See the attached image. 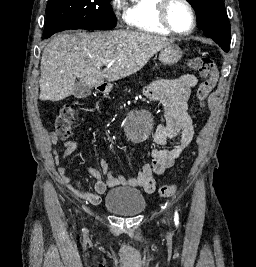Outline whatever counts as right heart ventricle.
<instances>
[{
  "label": "right heart ventricle",
  "mask_w": 256,
  "mask_h": 267,
  "mask_svg": "<svg viewBox=\"0 0 256 267\" xmlns=\"http://www.w3.org/2000/svg\"><path fill=\"white\" fill-rule=\"evenodd\" d=\"M161 0H137L132 13V25L142 28L143 36H172L158 22Z\"/></svg>",
  "instance_id": "e07e8e85"
}]
</instances>
